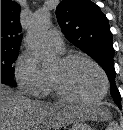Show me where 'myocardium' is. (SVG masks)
Returning a JSON list of instances; mask_svg holds the SVG:
<instances>
[{
  "label": "myocardium",
  "instance_id": "f54148a6",
  "mask_svg": "<svg viewBox=\"0 0 123 130\" xmlns=\"http://www.w3.org/2000/svg\"><path fill=\"white\" fill-rule=\"evenodd\" d=\"M77 60L86 61V62L90 63L91 65H93L99 71V73L101 74L102 79H103V90H102L101 94L95 98H90V99L75 97L66 90V88L59 81V79H57L55 76L50 74L49 78L51 80L52 87H53L55 93L63 100L71 102V103L92 104V103L101 101L106 96L108 89H109V80H108L106 72L101 67V65L99 63H97L94 59H92L86 55H83V54L72 53V54L64 55L60 58V61L64 65H68Z\"/></svg>",
  "mask_w": 123,
  "mask_h": 130
}]
</instances>
